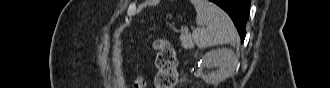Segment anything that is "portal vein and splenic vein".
<instances>
[{
	"mask_svg": "<svg viewBox=\"0 0 330 88\" xmlns=\"http://www.w3.org/2000/svg\"><path fill=\"white\" fill-rule=\"evenodd\" d=\"M184 32H185V33H188V27H185V28H184Z\"/></svg>",
	"mask_w": 330,
	"mask_h": 88,
	"instance_id": "1",
	"label": "portal vein and splenic vein"
}]
</instances>
